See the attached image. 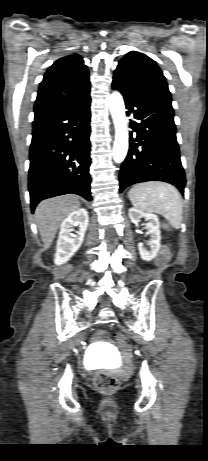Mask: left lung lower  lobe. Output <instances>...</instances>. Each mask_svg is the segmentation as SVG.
Instances as JSON below:
<instances>
[{
  "mask_svg": "<svg viewBox=\"0 0 208 461\" xmlns=\"http://www.w3.org/2000/svg\"><path fill=\"white\" fill-rule=\"evenodd\" d=\"M112 88L124 97L127 116H132L130 149L119 174L120 192L146 181H164L183 194L186 184L176 139L172 100L140 92L113 77Z\"/></svg>",
  "mask_w": 208,
  "mask_h": 461,
  "instance_id": "obj_1",
  "label": "left lung lower lobe"
}]
</instances>
